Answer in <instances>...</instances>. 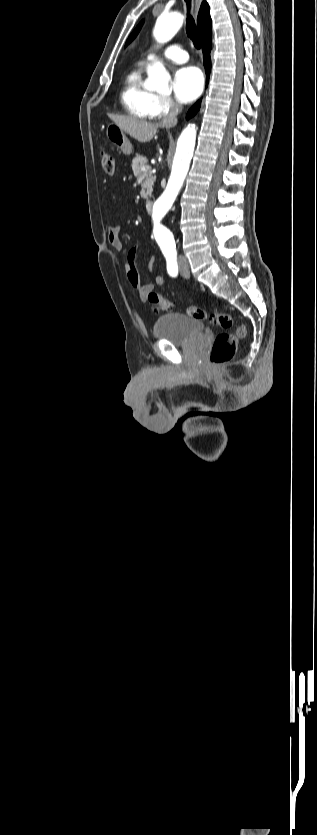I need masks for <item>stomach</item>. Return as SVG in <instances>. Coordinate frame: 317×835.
Listing matches in <instances>:
<instances>
[{
	"label": "stomach",
	"mask_w": 317,
	"mask_h": 835,
	"mask_svg": "<svg viewBox=\"0 0 317 835\" xmlns=\"http://www.w3.org/2000/svg\"><path fill=\"white\" fill-rule=\"evenodd\" d=\"M106 136L111 144L120 149L126 156H129L132 153V145L129 139L126 137L124 130L117 124H108L106 128Z\"/></svg>",
	"instance_id": "obj_1"
}]
</instances>
